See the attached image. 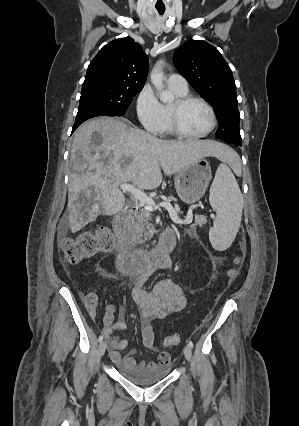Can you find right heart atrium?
Listing matches in <instances>:
<instances>
[{"label": "right heart atrium", "mask_w": 299, "mask_h": 426, "mask_svg": "<svg viewBox=\"0 0 299 426\" xmlns=\"http://www.w3.org/2000/svg\"><path fill=\"white\" fill-rule=\"evenodd\" d=\"M136 113L141 125L152 134L164 131L165 116L163 105L157 99L150 85H145L136 99Z\"/></svg>", "instance_id": "right-heart-atrium-1"}]
</instances>
